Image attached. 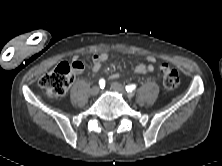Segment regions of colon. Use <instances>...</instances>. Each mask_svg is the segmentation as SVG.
<instances>
[{"label": "colon", "mask_w": 222, "mask_h": 166, "mask_svg": "<svg viewBox=\"0 0 222 166\" xmlns=\"http://www.w3.org/2000/svg\"><path fill=\"white\" fill-rule=\"evenodd\" d=\"M80 68H82L81 64L62 62L39 79V86L43 88L50 97H61L67 92L74 81V72ZM160 73L166 89L173 90L179 86V72L174 67L163 63L160 66Z\"/></svg>", "instance_id": "obj_1"}]
</instances>
